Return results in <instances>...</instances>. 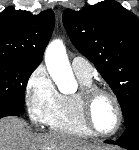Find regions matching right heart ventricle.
Returning a JSON list of instances; mask_svg holds the SVG:
<instances>
[{
    "instance_id": "right-heart-ventricle-1",
    "label": "right heart ventricle",
    "mask_w": 139,
    "mask_h": 150,
    "mask_svg": "<svg viewBox=\"0 0 139 150\" xmlns=\"http://www.w3.org/2000/svg\"><path fill=\"white\" fill-rule=\"evenodd\" d=\"M81 88L92 86V80L77 76ZM79 93L59 94L46 118V125L55 132L92 137L93 134L85 127L79 109Z\"/></svg>"
}]
</instances>
